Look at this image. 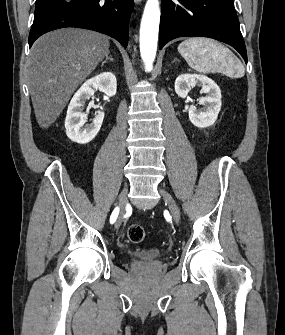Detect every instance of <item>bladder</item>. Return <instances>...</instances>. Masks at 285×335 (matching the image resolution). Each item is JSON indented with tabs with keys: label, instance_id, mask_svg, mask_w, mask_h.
<instances>
[{
	"label": "bladder",
	"instance_id": "obj_1",
	"mask_svg": "<svg viewBox=\"0 0 285 335\" xmlns=\"http://www.w3.org/2000/svg\"><path fill=\"white\" fill-rule=\"evenodd\" d=\"M129 255L132 258V261L136 262L137 264L153 265L161 260L164 252L159 251L156 248H150L141 249L138 251H130Z\"/></svg>",
	"mask_w": 285,
	"mask_h": 335
}]
</instances>
